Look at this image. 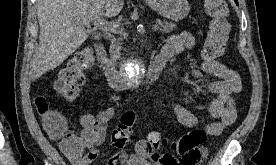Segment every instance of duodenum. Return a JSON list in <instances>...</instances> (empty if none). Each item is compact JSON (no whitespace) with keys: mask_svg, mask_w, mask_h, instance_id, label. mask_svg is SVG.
<instances>
[{"mask_svg":"<svg viewBox=\"0 0 276 165\" xmlns=\"http://www.w3.org/2000/svg\"><path fill=\"white\" fill-rule=\"evenodd\" d=\"M96 58L102 69L108 84L115 90H121L127 87V78L122 72L114 65V63L108 58L105 46L102 43H97L94 46ZM167 63V59L158 55L147 67L146 80L157 79L162 73Z\"/></svg>","mask_w":276,"mask_h":165,"instance_id":"obj_1","label":"duodenum"}]
</instances>
